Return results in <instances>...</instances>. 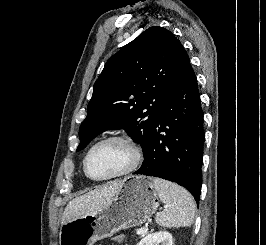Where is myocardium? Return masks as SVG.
<instances>
[{
	"label": "myocardium",
	"instance_id": "myocardium-1",
	"mask_svg": "<svg viewBox=\"0 0 266 245\" xmlns=\"http://www.w3.org/2000/svg\"><path fill=\"white\" fill-rule=\"evenodd\" d=\"M110 140L122 141V142L126 143L127 145H129L131 150H132V161H131L129 167L124 172H122L118 175L111 176L108 178L93 177L88 173V170H87L88 158L95 147H97L99 144H101L103 142L110 141ZM142 157H143L142 148L135 140H133L132 138L127 137L125 135H122V134H110V135H106V136L98 139L96 142H94L88 148V150L86 151L84 158H83L82 168H83L84 174L89 179H91L93 181H97V182H109V181L119 180V179L125 178V177L129 176L130 174H132L133 172H135L142 161Z\"/></svg>",
	"mask_w": 266,
	"mask_h": 245
}]
</instances>
